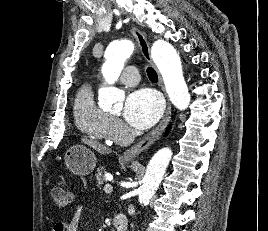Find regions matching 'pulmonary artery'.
Wrapping results in <instances>:
<instances>
[{"label":"pulmonary artery","instance_id":"1","mask_svg":"<svg viewBox=\"0 0 268 231\" xmlns=\"http://www.w3.org/2000/svg\"><path fill=\"white\" fill-rule=\"evenodd\" d=\"M139 81V73L137 66L134 64L129 65L121 76V82L133 86Z\"/></svg>","mask_w":268,"mask_h":231}]
</instances>
